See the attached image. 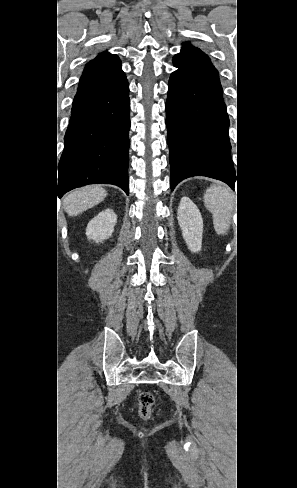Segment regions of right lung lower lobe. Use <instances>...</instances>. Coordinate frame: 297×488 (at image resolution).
Segmentation results:
<instances>
[{
    "mask_svg": "<svg viewBox=\"0 0 297 488\" xmlns=\"http://www.w3.org/2000/svg\"><path fill=\"white\" fill-rule=\"evenodd\" d=\"M129 105L125 74L73 104L60 160L59 197L94 183L114 184L128 194Z\"/></svg>",
    "mask_w": 297,
    "mask_h": 488,
    "instance_id": "98d812e1",
    "label": "right lung lower lobe"
}]
</instances>
